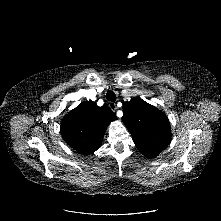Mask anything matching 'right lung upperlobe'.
I'll list each match as a JSON object with an SVG mask.
<instances>
[{"mask_svg":"<svg viewBox=\"0 0 221 221\" xmlns=\"http://www.w3.org/2000/svg\"><path fill=\"white\" fill-rule=\"evenodd\" d=\"M116 119L108 106L98 107L92 101H85L63 118L62 138L82 154L93 153L101 146L107 126Z\"/></svg>","mask_w":221,"mask_h":221,"instance_id":"right-lung-upper-lobe-1","label":"right lung upper lobe"}]
</instances>
